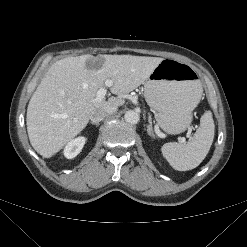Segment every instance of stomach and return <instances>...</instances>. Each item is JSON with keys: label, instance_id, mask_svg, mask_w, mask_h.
Here are the masks:
<instances>
[{"label": "stomach", "instance_id": "0dacf381", "mask_svg": "<svg viewBox=\"0 0 247 247\" xmlns=\"http://www.w3.org/2000/svg\"><path fill=\"white\" fill-rule=\"evenodd\" d=\"M202 92L194 68L174 59H163L144 83V96L158 125L171 135L190 126Z\"/></svg>", "mask_w": 247, "mask_h": 247}]
</instances>
